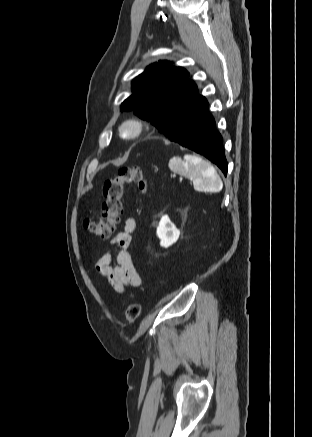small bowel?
Listing matches in <instances>:
<instances>
[{"mask_svg":"<svg viewBox=\"0 0 312 437\" xmlns=\"http://www.w3.org/2000/svg\"><path fill=\"white\" fill-rule=\"evenodd\" d=\"M135 228L136 220L131 216L126 219L123 229L114 236L112 242L118 248L114 265H112L110 252L102 253L94 262L95 271L107 278L112 288L118 293H123L127 287H139L142 283L129 252Z\"/></svg>","mask_w":312,"mask_h":437,"instance_id":"obj_1","label":"small bowel"}]
</instances>
